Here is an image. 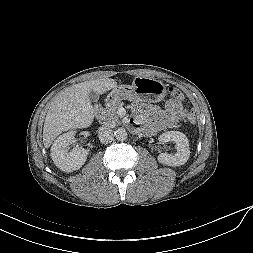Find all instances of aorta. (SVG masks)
Returning a JSON list of instances; mask_svg holds the SVG:
<instances>
[{
    "label": "aorta",
    "mask_w": 253,
    "mask_h": 253,
    "mask_svg": "<svg viewBox=\"0 0 253 253\" xmlns=\"http://www.w3.org/2000/svg\"><path fill=\"white\" fill-rule=\"evenodd\" d=\"M115 138L119 141H124L127 139V131L125 130V128H118L115 132H114Z\"/></svg>",
    "instance_id": "obj_1"
}]
</instances>
